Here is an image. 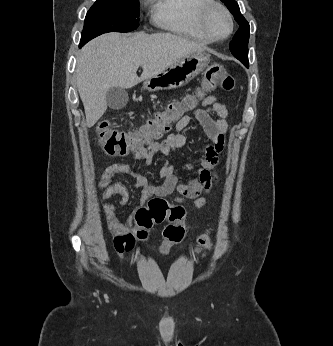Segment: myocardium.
Returning a JSON list of instances; mask_svg holds the SVG:
<instances>
[{"instance_id":"obj_1","label":"myocardium","mask_w":333,"mask_h":346,"mask_svg":"<svg viewBox=\"0 0 333 346\" xmlns=\"http://www.w3.org/2000/svg\"><path fill=\"white\" fill-rule=\"evenodd\" d=\"M214 10H219L221 11L227 18L228 22H229V30L228 32L222 36V37H217L213 34V32L211 31L210 27H209V17L210 14L214 11ZM199 21H200V25L202 27V29L205 31V33L212 39V40H222V39H226L228 38L233 30H234V21H233V17L231 15V13L229 12V10L221 3L215 1V0H210L207 4H205L201 10H200V14H199Z\"/></svg>"}]
</instances>
